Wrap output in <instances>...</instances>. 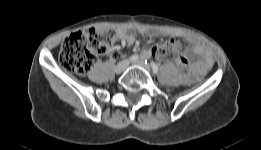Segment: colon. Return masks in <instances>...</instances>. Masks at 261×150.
Here are the masks:
<instances>
[{
	"label": "colon",
	"mask_w": 261,
	"mask_h": 150,
	"mask_svg": "<svg viewBox=\"0 0 261 150\" xmlns=\"http://www.w3.org/2000/svg\"><path fill=\"white\" fill-rule=\"evenodd\" d=\"M118 33L113 28H86L72 33L62 43L59 61L68 71L80 75L87 74L100 56L105 55L116 41ZM153 56L173 61L183 74H187L189 65L179 43L170 39L152 49Z\"/></svg>",
	"instance_id": "1"
}]
</instances>
